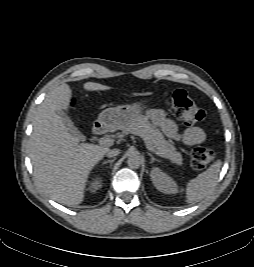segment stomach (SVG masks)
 <instances>
[{
    "mask_svg": "<svg viewBox=\"0 0 254 267\" xmlns=\"http://www.w3.org/2000/svg\"><path fill=\"white\" fill-rule=\"evenodd\" d=\"M145 101H135L131 104L119 105L103 110L97 122L109 130H123L142 117Z\"/></svg>",
    "mask_w": 254,
    "mask_h": 267,
    "instance_id": "1",
    "label": "stomach"
}]
</instances>
